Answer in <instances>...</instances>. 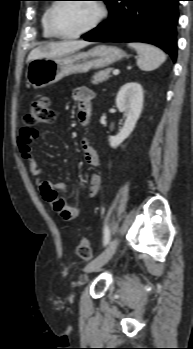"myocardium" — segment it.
I'll list each match as a JSON object with an SVG mask.
<instances>
[{
	"label": "myocardium",
	"mask_w": 193,
	"mask_h": 349,
	"mask_svg": "<svg viewBox=\"0 0 193 349\" xmlns=\"http://www.w3.org/2000/svg\"><path fill=\"white\" fill-rule=\"evenodd\" d=\"M90 2H93L96 5V7L98 9V16L88 27H86V28H84L76 33H73V34H63V33H60L59 31H57V29L55 28L54 23H53L54 12L57 9V7L64 2H62L61 0L54 2L51 5V7L49 8L48 13H47V26H48V29L51 32V34L54 37H57L60 39H76V38H79V37L91 32V31H93L94 29H96L103 22V20L106 18L107 8H106L105 4L100 0H90Z\"/></svg>",
	"instance_id": "obj_1"
}]
</instances>
